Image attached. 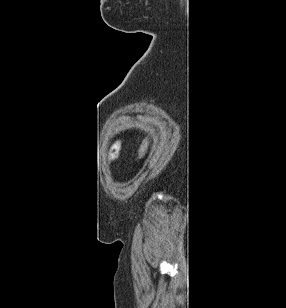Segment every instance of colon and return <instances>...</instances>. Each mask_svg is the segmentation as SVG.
Masks as SVG:
<instances>
[{
  "label": "colon",
  "instance_id": "5ec220e1",
  "mask_svg": "<svg viewBox=\"0 0 286 308\" xmlns=\"http://www.w3.org/2000/svg\"><path fill=\"white\" fill-rule=\"evenodd\" d=\"M121 147H122V141H116L110 148V152H109V160L110 161H114L119 153H120V150H121ZM147 149H148V144H144L140 151H139V157L142 158L146 152H147Z\"/></svg>",
  "mask_w": 286,
  "mask_h": 308
}]
</instances>
